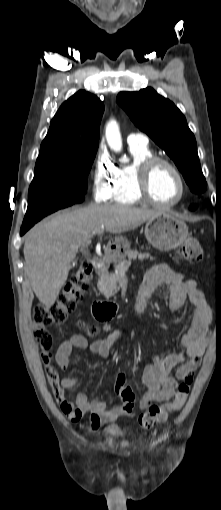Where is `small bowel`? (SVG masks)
Segmentation results:
<instances>
[{
	"label": "small bowel",
	"mask_w": 221,
	"mask_h": 510,
	"mask_svg": "<svg viewBox=\"0 0 221 510\" xmlns=\"http://www.w3.org/2000/svg\"><path fill=\"white\" fill-rule=\"evenodd\" d=\"M163 285L169 287L171 310H179L185 304L191 309L190 325L179 338L181 351L163 358L153 357L145 365L142 381L146 390L137 402L124 373L117 372L114 392L121 397L123 403L113 408H108L103 400H90L85 392H78L75 402H71L67 390L74 388L78 380L72 376L59 378L53 387L54 395L59 398L60 408L71 422L77 423L85 414H89L91 427H98L102 422L114 423L121 416L135 415L137 411L147 409L153 402H163L172 398L175 394L176 379H183L185 374L193 373L200 366L211 336L212 314L194 280L185 279L182 273L166 264L147 269L136 297L137 313L142 318L149 294ZM122 336L123 331H116L107 338L88 343L83 336L72 335L58 347L55 362L61 370L67 371L70 368L73 349L89 350L92 354L107 358ZM173 369H176V377L171 376Z\"/></svg>",
	"instance_id": "small-bowel-1"
}]
</instances>
